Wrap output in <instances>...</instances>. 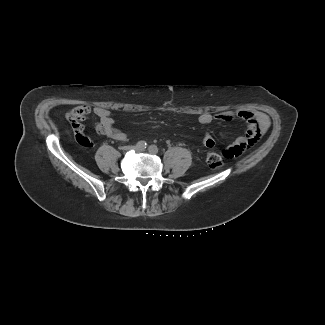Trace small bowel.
Returning <instances> with one entry per match:
<instances>
[{
  "label": "small bowel",
  "mask_w": 325,
  "mask_h": 325,
  "mask_svg": "<svg viewBox=\"0 0 325 325\" xmlns=\"http://www.w3.org/2000/svg\"><path fill=\"white\" fill-rule=\"evenodd\" d=\"M91 114L97 118L94 127L98 133L117 141H126L127 135L115 127L114 119L107 108L97 106L91 109L88 106H78L68 113L67 118L73 127L79 144L85 147L93 146L92 141L85 135L84 127L81 123ZM236 117L245 121L246 129L244 133L237 137L231 145L226 146L222 150V153L226 158H234L252 148L260 135L270 126L269 117L262 112L241 110L236 114L221 112L215 116L208 112H204L198 118L200 124L208 125L214 119L228 122L232 121ZM203 145L208 149H212L216 146V140L210 132H207L204 135Z\"/></svg>",
  "instance_id": "small-bowel-1"
}]
</instances>
